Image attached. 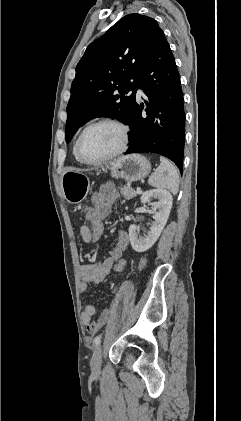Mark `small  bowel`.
Returning a JSON list of instances; mask_svg holds the SVG:
<instances>
[{
	"mask_svg": "<svg viewBox=\"0 0 241 421\" xmlns=\"http://www.w3.org/2000/svg\"><path fill=\"white\" fill-rule=\"evenodd\" d=\"M119 194L112 186L102 188L92 197L96 215L102 220L107 217L118 198ZM90 228L83 225L80 228V237L84 242L89 241ZM129 245V235L125 231H120L117 235L115 245L108 256L100 262L86 263L81 266L79 285L80 292L85 294L89 283H100L110 273L114 262L120 259ZM95 307L87 304L82 313V322L89 334H94L108 320L109 310H104L96 321H93Z\"/></svg>",
	"mask_w": 241,
	"mask_h": 421,
	"instance_id": "1",
	"label": "small bowel"
}]
</instances>
